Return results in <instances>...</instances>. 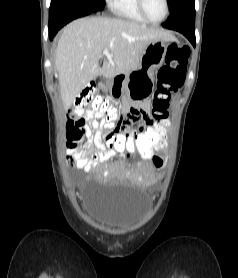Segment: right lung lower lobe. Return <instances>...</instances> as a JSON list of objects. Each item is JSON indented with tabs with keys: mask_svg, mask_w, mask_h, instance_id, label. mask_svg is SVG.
<instances>
[{
	"mask_svg": "<svg viewBox=\"0 0 238 278\" xmlns=\"http://www.w3.org/2000/svg\"><path fill=\"white\" fill-rule=\"evenodd\" d=\"M101 9L79 0H51L49 9V38L52 40L58 30L70 21Z\"/></svg>",
	"mask_w": 238,
	"mask_h": 278,
	"instance_id": "1",
	"label": "right lung lower lobe"
}]
</instances>
